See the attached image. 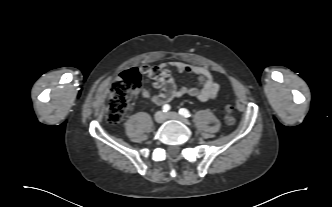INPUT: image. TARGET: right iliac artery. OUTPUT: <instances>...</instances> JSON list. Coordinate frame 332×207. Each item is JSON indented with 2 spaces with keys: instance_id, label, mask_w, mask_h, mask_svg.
Segmentation results:
<instances>
[{
  "instance_id": "1",
  "label": "right iliac artery",
  "mask_w": 332,
  "mask_h": 207,
  "mask_svg": "<svg viewBox=\"0 0 332 207\" xmlns=\"http://www.w3.org/2000/svg\"><path fill=\"white\" fill-rule=\"evenodd\" d=\"M163 112H168L170 110V106L168 104H165L162 108Z\"/></svg>"
}]
</instances>
